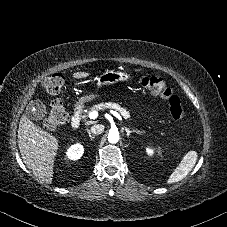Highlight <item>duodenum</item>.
<instances>
[{
	"mask_svg": "<svg viewBox=\"0 0 227 227\" xmlns=\"http://www.w3.org/2000/svg\"><path fill=\"white\" fill-rule=\"evenodd\" d=\"M83 118V107L81 105H76L74 114L72 117V128L77 130L80 128Z\"/></svg>",
	"mask_w": 227,
	"mask_h": 227,
	"instance_id": "1",
	"label": "duodenum"
}]
</instances>
